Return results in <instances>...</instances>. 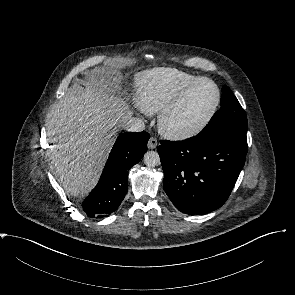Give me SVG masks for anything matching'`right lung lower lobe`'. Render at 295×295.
I'll list each match as a JSON object with an SVG mask.
<instances>
[{"mask_svg": "<svg viewBox=\"0 0 295 295\" xmlns=\"http://www.w3.org/2000/svg\"><path fill=\"white\" fill-rule=\"evenodd\" d=\"M149 133L126 132L116 140L97 186L82 203L89 217H105L116 211L128 187V170L143 157Z\"/></svg>", "mask_w": 295, "mask_h": 295, "instance_id": "obj_1", "label": "right lung lower lobe"}]
</instances>
